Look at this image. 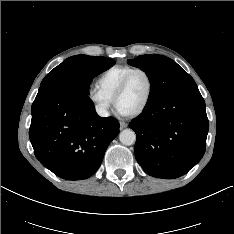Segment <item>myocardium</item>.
Returning <instances> with one entry per match:
<instances>
[{"mask_svg": "<svg viewBox=\"0 0 234 234\" xmlns=\"http://www.w3.org/2000/svg\"><path fill=\"white\" fill-rule=\"evenodd\" d=\"M137 72H142L146 75V77L148 79L149 86H148V92H147L146 98H145L144 102L142 103V105L133 112L125 113V115L130 116V117H135V116H138L141 113H143L146 110V108L148 107V105L152 99V95H153V91H154V80H153V77L150 74V72L144 68H139V67L133 68L131 71H129L125 75V77L121 81L120 85L116 89L114 96H113V103H114L115 107L117 108L118 99L126 91L131 77Z\"/></svg>", "mask_w": 234, "mask_h": 234, "instance_id": "obj_1", "label": "myocardium"}]
</instances>
